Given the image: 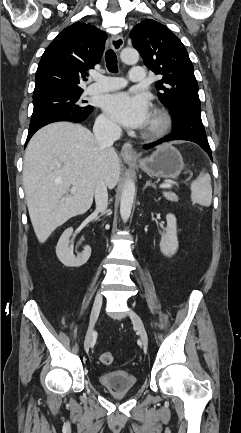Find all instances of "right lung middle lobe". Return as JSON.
Returning <instances> with one entry per match:
<instances>
[{"mask_svg":"<svg viewBox=\"0 0 241 433\" xmlns=\"http://www.w3.org/2000/svg\"><path fill=\"white\" fill-rule=\"evenodd\" d=\"M82 91H56L33 97V114L29 128L59 114H85L92 110L80 100Z\"/></svg>","mask_w":241,"mask_h":433,"instance_id":"right-lung-middle-lobe-1","label":"right lung middle lobe"}]
</instances>
